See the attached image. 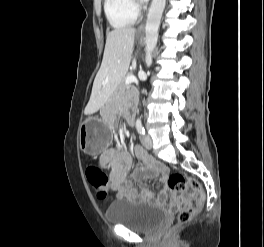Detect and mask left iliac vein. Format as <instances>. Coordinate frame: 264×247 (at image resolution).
I'll return each mask as SVG.
<instances>
[{"label": "left iliac vein", "mask_w": 264, "mask_h": 247, "mask_svg": "<svg viewBox=\"0 0 264 247\" xmlns=\"http://www.w3.org/2000/svg\"><path fill=\"white\" fill-rule=\"evenodd\" d=\"M142 144H143V146H144L146 149H148V150L152 149L153 144H152V139H151V137H150L149 135H145V136H143V137H142Z\"/></svg>", "instance_id": "4c4485c4"}]
</instances>
